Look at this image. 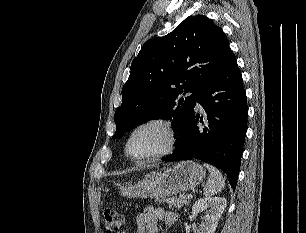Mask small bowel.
Wrapping results in <instances>:
<instances>
[{"label":"small bowel","mask_w":306,"mask_h":233,"mask_svg":"<svg viewBox=\"0 0 306 233\" xmlns=\"http://www.w3.org/2000/svg\"><path fill=\"white\" fill-rule=\"evenodd\" d=\"M178 220V215L174 212H166L159 208L146 207L142 213L135 217L134 223L136 233H157L159 222H163L167 227H172Z\"/></svg>","instance_id":"small-bowel-1"}]
</instances>
